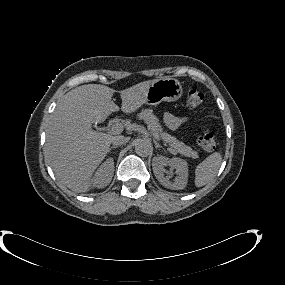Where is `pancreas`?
<instances>
[{
  "instance_id": "pancreas-1",
  "label": "pancreas",
  "mask_w": 285,
  "mask_h": 285,
  "mask_svg": "<svg viewBox=\"0 0 285 285\" xmlns=\"http://www.w3.org/2000/svg\"><path fill=\"white\" fill-rule=\"evenodd\" d=\"M137 117L147 123L148 129L154 137L161 139L165 144L172 147L175 152L180 153L185 157H191L194 159L198 157V153L190 146L185 145L184 143L178 141L176 137L163 131L157 116L153 114L152 110H142Z\"/></svg>"
}]
</instances>
